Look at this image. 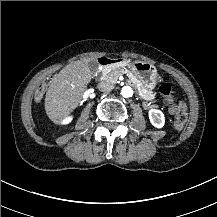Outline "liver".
<instances>
[{"label":"liver","instance_id":"obj_1","mask_svg":"<svg viewBox=\"0 0 217 217\" xmlns=\"http://www.w3.org/2000/svg\"><path fill=\"white\" fill-rule=\"evenodd\" d=\"M89 60H78L65 66L54 76L45 96V111L50 120L62 119L80 103L83 92L92 79Z\"/></svg>","mask_w":217,"mask_h":217}]
</instances>
